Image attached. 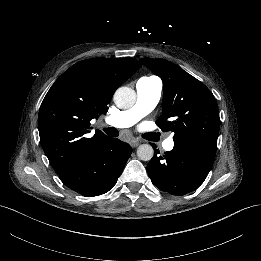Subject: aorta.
<instances>
[{
	"mask_svg": "<svg viewBox=\"0 0 261 261\" xmlns=\"http://www.w3.org/2000/svg\"><path fill=\"white\" fill-rule=\"evenodd\" d=\"M136 92L129 87L118 88L113 96L115 105L120 109H129L136 102ZM154 155V150L149 144H142L137 149V156L140 160L149 161Z\"/></svg>",
	"mask_w": 261,
	"mask_h": 261,
	"instance_id": "762f6f07",
	"label": "aorta"
}]
</instances>
